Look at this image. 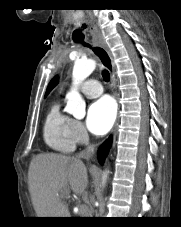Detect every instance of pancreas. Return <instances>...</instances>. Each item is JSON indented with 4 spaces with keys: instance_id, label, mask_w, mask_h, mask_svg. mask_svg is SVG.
Returning <instances> with one entry per match:
<instances>
[{
    "instance_id": "pancreas-1",
    "label": "pancreas",
    "mask_w": 181,
    "mask_h": 227,
    "mask_svg": "<svg viewBox=\"0 0 181 227\" xmlns=\"http://www.w3.org/2000/svg\"><path fill=\"white\" fill-rule=\"evenodd\" d=\"M89 212H90L89 209H87V212H86V213L82 212V210L80 209V212H79L80 217H87V214H88Z\"/></svg>"
}]
</instances>
